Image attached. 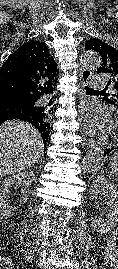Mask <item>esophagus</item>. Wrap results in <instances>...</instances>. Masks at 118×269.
Here are the masks:
<instances>
[{"label": "esophagus", "mask_w": 118, "mask_h": 269, "mask_svg": "<svg viewBox=\"0 0 118 269\" xmlns=\"http://www.w3.org/2000/svg\"><path fill=\"white\" fill-rule=\"evenodd\" d=\"M91 76H92V72L90 70L81 68V70H80V86H79L80 87L79 93H80V100L81 101L83 100V98L85 96V86L88 83ZM81 134L83 137V144L87 147H91L94 144V140H93V138H90L87 135L85 127L81 128Z\"/></svg>", "instance_id": "esophagus-1"}]
</instances>
